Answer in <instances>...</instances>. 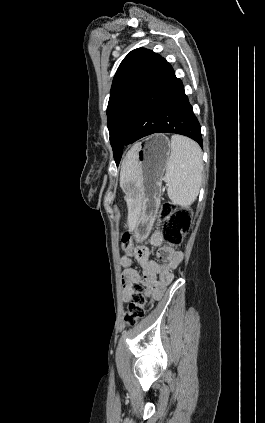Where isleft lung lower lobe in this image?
Here are the masks:
<instances>
[{"label": "left lung lower lobe", "mask_w": 265, "mask_h": 423, "mask_svg": "<svg viewBox=\"0 0 265 423\" xmlns=\"http://www.w3.org/2000/svg\"><path fill=\"white\" fill-rule=\"evenodd\" d=\"M153 133H176L202 146L200 124L183 84L171 65L157 55L134 103L125 145Z\"/></svg>", "instance_id": "obj_1"}]
</instances>
